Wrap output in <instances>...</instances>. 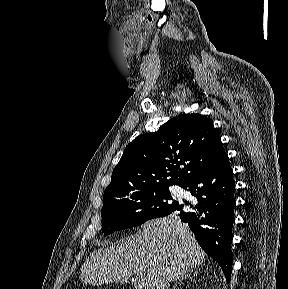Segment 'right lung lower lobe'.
Wrapping results in <instances>:
<instances>
[{
    "mask_svg": "<svg viewBox=\"0 0 288 289\" xmlns=\"http://www.w3.org/2000/svg\"><path fill=\"white\" fill-rule=\"evenodd\" d=\"M182 188L196 197L191 211L179 204L167 215L177 212L188 224L202 249L222 268L227 282L232 272V226L235 221V183L225 151L209 166L186 180ZM166 216V215H165Z\"/></svg>",
    "mask_w": 288,
    "mask_h": 289,
    "instance_id": "right-lung-lower-lobe-1",
    "label": "right lung lower lobe"
}]
</instances>
